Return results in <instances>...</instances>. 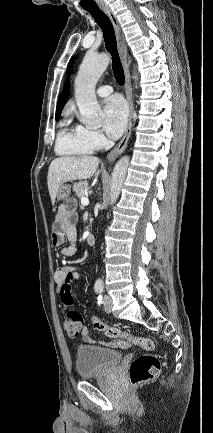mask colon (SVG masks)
I'll return each mask as SVG.
<instances>
[{"label": "colon", "instance_id": "obj_1", "mask_svg": "<svg viewBox=\"0 0 213 433\" xmlns=\"http://www.w3.org/2000/svg\"><path fill=\"white\" fill-rule=\"evenodd\" d=\"M71 279L72 275L69 276V280ZM69 287L70 285L64 287L60 294L63 303L71 306L73 298ZM91 321L96 331L102 332L110 338L121 339L126 343L139 346L148 352L152 351L155 347L153 340L150 338L132 335L95 317H92ZM63 326L68 336L77 337L83 328L81 313L75 309L70 310L63 320ZM160 368V361L156 356L152 354L138 356L131 362L129 367L131 383L136 386L156 378L160 372Z\"/></svg>", "mask_w": 213, "mask_h": 433}]
</instances>
